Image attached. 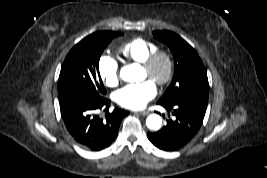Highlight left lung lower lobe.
I'll return each instance as SVG.
<instances>
[{
	"label": "left lung lower lobe",
	"mask_w": 267,
	"mask_h": 178,
	"mask_svg": "<svg viewBox=\"0 0 267 178\" xmlns=\"http://www.w3.org/2000/svg\"><path fill=\"white\" fill-rule=\"evenodd\" d=\"M168 112H172L174 119L167 120V124L159 131L148 133L147 137L153 145L164 151H175L184 147L199 131L206 112V107L197 103L158 102Z\"/></svg>",
	"instance_id": "1"
}]
</instances>
